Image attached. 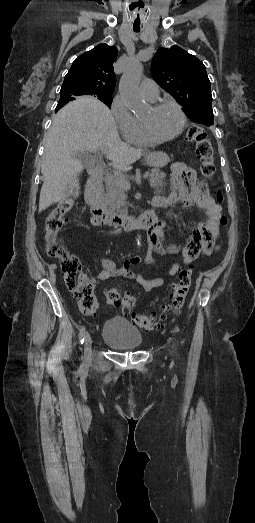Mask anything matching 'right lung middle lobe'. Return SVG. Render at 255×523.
<instances>
[{
	"label": "right lung middle lobe",
	"instance_id": "dd1d6c3e",
	"mask_svg": "<svg viewBox=\"0 0 255 523\" xmlns=\"http://www.w3.org/2000/svg\"><path fill=\"white\" fill-rule=\"evenodd\" d=\"M60 94H61L60 100H67V101L75 100L74 96L71 95L70 93L60 92ZM97 99L102 101L103 103H105L109 108H111V103L113 101V98L111 96H99Z\"/></svg>",
	"mask_w": 255,
	"mask_h": 523
}]
</instances>
